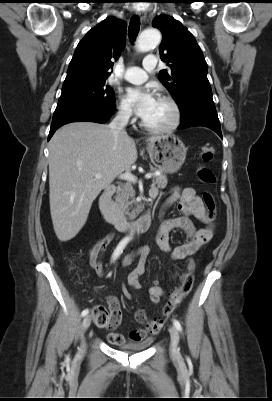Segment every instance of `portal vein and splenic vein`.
Masks as SVG:
<instances>
[{"label":"portal vein and splenic vein","instance_id":"18ae733b","mask_svg":"<svg viewBox=\"0 0 272 401\" xmlns=\"http://www.w3.org/2000/svg\"><path fill=\"white\" fill-rule=\"evenodd\" d=\"M151 177H152V174H146L145 175L146 179H150ZM95 178L99 179V178H101V175L100 174H96ZM119 178L122 179V180L128 181V182H132V183H136L137 182L136 176L133 175L130 172H125L123 174H120Z\"/></svg>","mask_w":272,"mask_h":401}]
</instances>
